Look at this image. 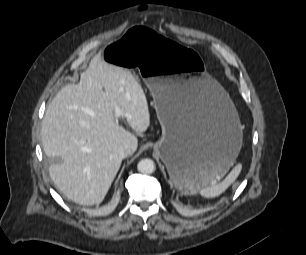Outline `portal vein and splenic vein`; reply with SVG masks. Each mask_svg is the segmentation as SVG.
<instances>
[{"mask_svg": "<svg viewBox=\"0 0 306 255\" xmlns=\"http://www.w3.org/2000/svg\"><path fill=\"white\" fill-rule=\"evenodd\" d=\"M121 116H123L122 110L118 106H115V117L118 119Z\"/></svg>", "mask_w": 306, "mask_h": 255, "instance_id": "1", "label": "portal vein and splenic vein"}]
</instances>
